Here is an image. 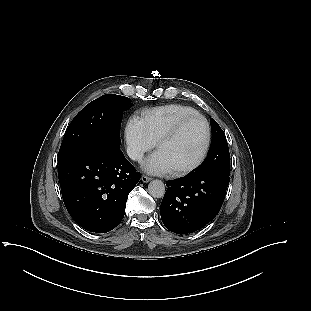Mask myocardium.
I'll use <instances>...</instances> for the list:
<instances>
[{"label":"myocardium","instance_id":"myocardium-1","mask_svg":"<svg viewBox=\"0 0 311 311\" xmlns=\"http://www.w3.org/2000/svg\"><path fill=\"white\" fill-rule=\"evenodd\" d=\"M195 119L201 120L204 124V127H205L204 145H203L202 150H201L200 154L198 155V157L191 164H189L185 167L171 171L172 175H174V176H182V175L188 174V173L192 172L193 170H195L196 168H198L202 164V162L204 161V159L208 153L210 143H211V129H210V125H209L208 120L203 115H201L199 113L185 116V117L179 119L177 122H175L164 133H162L156 141V148L158 149V147L161 143L175 138L178 135V133L180 132V130L188 122L195 120Z\"/></svg>","mask_w":311,"mask_h":311}]
</instances>
